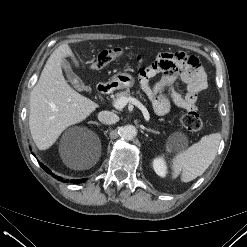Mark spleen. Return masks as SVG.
Segmentation results:
<instances>
[{
	"label": "spleen",
	"mask_w": 247,
	"mask_h": 247,
	"mask_svg": "<svg viewBox=\"0 0 247 247\" xmlns=\"http://www.w3.org/2000/svg\"><path fill=\"white\" fill-rule=\"evenodd\" d=\"M220 140V133L205 135L199 142L174 155L171 160L173 177L181 174L182 182H190L201 176L214 160Z\"/></svg>",
	"instance_id": "3e777b00"
}]
</instances>
